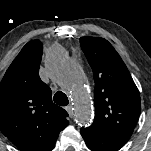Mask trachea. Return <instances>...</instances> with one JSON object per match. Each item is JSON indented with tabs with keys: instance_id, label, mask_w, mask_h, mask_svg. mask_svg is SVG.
Here are the masks:
<instances>
[{
	"instance_id": "1",
	"label": "trachea",
	"mask_w": 151,
	"mask_h": 151,
	"mask_svg": "<svg viewBox=\"0 0 151 151\" xmlns=\"http://www.w3.org/2000/svg\"><path fill=\"white\" fill-rule=\"evenodd\" d=\"M54 102L60 106H66L69 103V100L65 93L58 91L54 95Z\"/></svg>"
}]
</instances>
